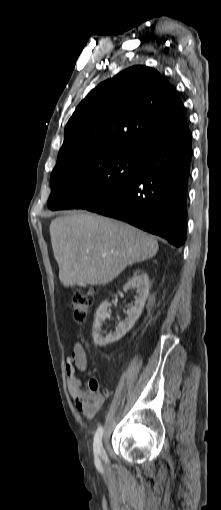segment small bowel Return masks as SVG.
Listing matches in <instances>:
<instances>
[{"label": "small bowel", "mask_w": 221, "mask_h": 510, "mask_svg": "<svg viewBox=\"0 0 221 510\" xmlns=\"http://www.w3.org/2000/svg\"><path fill=\"white\" fill-rule=\"evenodd\" d=\"M88 368L87 354L84 346L80 342L73 345L71 354L67 357L65 362V370L67 375L68 390L72 400L75 403L76 409L82 413L87 419L95 416L98 410H89L82 403V380L76 375V371L80 370L85 372Z\"/></svg>", "instance_id": "1"}]
</instances>
